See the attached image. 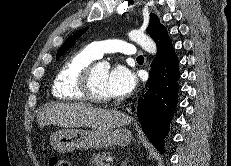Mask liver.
<instances>
[{"mask_svg":"<svg viewBox=\"0 0 231 166\" xmlns=\"http://www.w3.org/2000/svg\"><path fill=\"white\" fill-rule=\"evenodd\" d=\"M131 117L116 110H106L84 103H54L44 107L37 115L39 127L58 125L65 128L91 127L109 130L125 125Z\"/></svg>","mask_w":231,"mask_h":166,"instance_id":"6515ba94","label":"liver"}]
</instances>
